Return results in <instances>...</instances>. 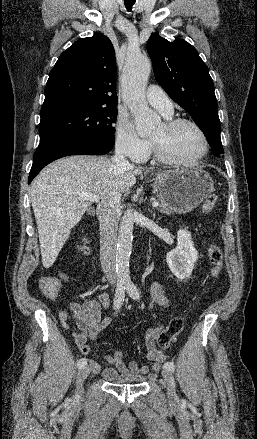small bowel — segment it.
I'll return each instance as SVG.
<instances>
[{
	"mask_svg": "<svg viewBox=\"0 0 257 439\" xmlns=\"http://www.w3.org/2000/svg\"><path fill=\"white\" fill-rule=\"evenodd\" d=\"M169 306V300L166 296L164 288L159 283H153L151 287L150 306ZM109 307V297L106 293L99 295L98 300H88L84 303H70L69 312H61L60 320L67 325L69 316L71 315L77 327L75 335V344L78 350L87 355L91 348L87 344V338L95 339L99 333L110 324V319H101V308ZM163 327H150L145 332V348L148 360L153 364L149 368L145 365H139L135 362L126 363L120 350H115L112 354L104 356L105 361L111 365L102 371V377L110 382L120 383H141L147 380L150 372H157L161 363L166 360V354L157 349L155 340ZM88 366L93 374L100 372L99 364L93 359H86Z\"/></svg>",
	"mask_w": 257,
	"mask_h": 439,
	"instance_id": "1",
	"label": "small bowel"
}]
</instances>
